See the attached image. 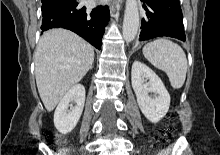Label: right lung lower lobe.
<instances>
[{"instance_id": "right-lung-lower-lobe-1", "label": "right lung lower lobe", "mask_w": 220, "mask_h": 155, "mask_svg": "<svg viewBox=\"0 0 220 155\" xmlns=\"http://www.w3.org/2000/svg\"><path fill=\"white\" fill-rule=\"evenodd\" d=\"M79 0H42L43 31L62 27L83 37L96 48H101V39L109 20V8L98 6L92 11L79 7Z\"/></svg>"}]
</instances>
